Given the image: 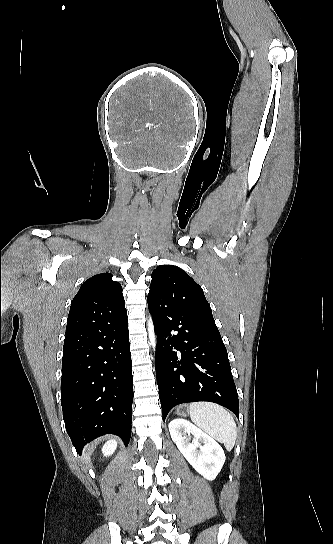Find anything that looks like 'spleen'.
Instances as JSON below:
<instances>
[{
	"mask_svg": "<svg viewBox=\"0 0 333 544\" xmlns=\"http://www.w3.org/2000/svg\"><path fill=\"white\" fill-rule=\"evenodd\" d=\"M191 420L202 430L223 443L231 451L237 438V427L232 415L212 402H194L189 405Z\"/></svg>",
	"mask_w": 333,
	"mask_h": 544,
	"instance_id": "1",
	"label": "spleen"
}]
</instances>
